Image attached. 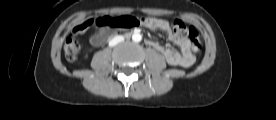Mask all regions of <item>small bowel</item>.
I'll list each match as a JSON object with an SVG mask.
<instances>
[{"instance_id":"c3829d8e","label":"small bowel","mask_w":276,"mask_h":120,"mask_svg":"<svg viewBox=\"0 0 276 120\" xmlns=\"http://www.w3.org/2000/svg\"><path fill=\"white\" fill-rule=\"evenodd\" d=\"M142 23L145 26L164 31L167 34L169 41L180 47L181 52H178L170 48L168 45L159 44L158 42L153 40L146 41L147 45L159 51L165 57L168 64L172 66L190 67L194 63L195 58L191 53L190 42L187 39L177 38L173 34L170 25L166 20L151 18L150 22ZM73 31L74 33H76L75 30ZM103 40V32L92 35L90 39L91 44L96 47L100 46Z\"/></svg>"}]
</instances>
